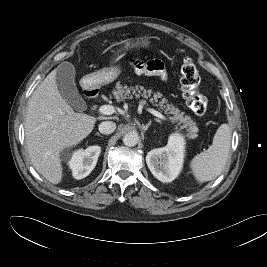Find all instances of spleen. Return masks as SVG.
Segmentation results:
<instances>
[{
	"instance_id": "3e777b00",
	"label": "spleen",
	"mask_w": 267,
	"mask_h": 267,
	"mask_svg": "<svg viewBox=\"0 0 267 267\" xmlns=\"http://www.w3.org/2000/svg\"><path fill=\"white\" fill-rule=\"evenodd\" d=\"M231 131L227 124H221L213 138L212 145L197 154L191 161L192 173L199 183L211 181L224 169L230 151Z\"/></svg>"
}]
</instances>
